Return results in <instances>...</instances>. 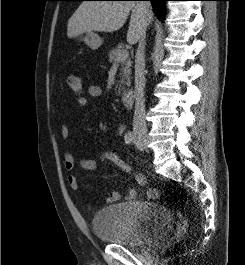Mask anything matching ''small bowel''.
<instances>
[{"instance_id": "obj_1", "label": "small bowel", "mask_w": 245, "mask_h": 265, "mask_svg": "<svg viewBox=\"0 0 245 265\" xmlns=\"http://www.w3.org/2000/svg\"><path fill=\"white\" fill-rule=\"evenodd\" d=\"M86 93L88 97L90 98H98L102 95V88L98 85H89L86 89ZM88 103L87 98H83L80 101L76 102L77 108L82 109L86 107ZM70 136V129L68 125L64 124L61 127V137L63 140H67ZM64 164L67 171L71 172V174L67 177L68 185L73 190H78L80 188V182L76 175H74L72 172L75 170L77 166H79L81 169H83L86 172H92L96 169V162L95 160L91 158H80L77 159L73 154L70 152H66L64 155ZM136 180L139 184L144 185L145 179L142 175H137ZM138 196L137 191L134 188H129L127 192V198L128 199H136ZM147 196L150 199H156L159 196V192L156 189H151L147 192ZM121 193L118 190H112L108 197L106 198V202L111 204L118 202L121 200Z\"/></svg>"}]
</instances>
